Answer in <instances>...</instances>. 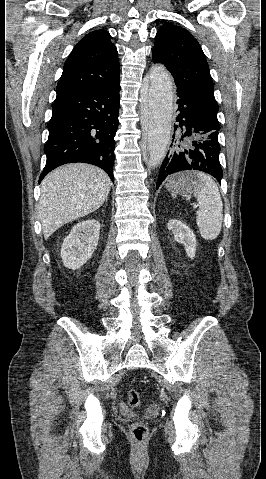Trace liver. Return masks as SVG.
<instances>
[{
    "label": "liver",
    "mask_w": 266,
    "mask_h": 479,
    "mask_svg": "<svg viewBox=\"0 0 266 479\" xmlns=\"http://www.w3.org/2000/svg\"><path fill=\"white\" fill-rule=\"evenodd\" d=\"M111 186L108 175L85 163L61 166L41 183L38 212L47 240L64 224L96 211L107 199Z\"/></svg>",
    "instance_id": "1"
}]
</instances>
